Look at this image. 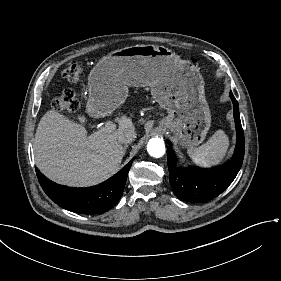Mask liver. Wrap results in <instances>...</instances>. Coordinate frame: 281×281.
Listing matches in <instances>:
<instances>
[{"label": "liver", "mask_w": 281, "mask_h": 281, "mask_svg": "<svg viewBox=\"0 0 281 281\" xmlns=\"http://www.w3.org/2000/svg\"><path fill=\"white\" fill-rule=\"evenodd\" d=\"M134 130L122 117L119 129L87 136V129L55 112L41 118L34 139L35 163L50 180L70 187L98 185L116 173L123 151L117 135Z\"/></svg>", "instance_id": "obj_1"}]
</instances>
